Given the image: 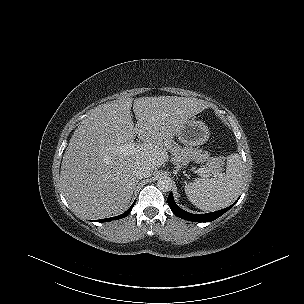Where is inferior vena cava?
Instances as JSON below:
<instances>
[{
    "label": "inferior vena cava",
    "mask_w": 304,
    "mask_h": 304,
    "mask_svg": "<svg viewBox=\"0 0 304 304\" xmlns=\"http://www.w3.org/2000/svg\"><path fill=\"white\" fill-rule=\"evenodd\" d=\"M152 168L148 165H138L135 168L134 175L137 179L148 178L152 175Z\"/></svg>",
    "instance_id": "602c4592"
}]
</instances>
